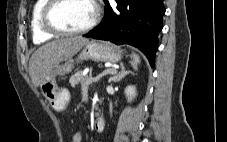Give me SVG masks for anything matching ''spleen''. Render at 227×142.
<instances>
[{
  "label": "spleen",
  "instance_id": "3e777b00",
  "mask_svg": "<svg viewBox=\"0 0 227 142\" xmlns=\"http://www.w3.org/2000/svg\"><path fill=\"white\" fill-rule=\"evenodd\" d=\"M132 59H133V67L137 68V65L140 63V57L138 54H136L135 52H132L131 55Z\"/></svg>",
  "mask_w": 227,
  "mask_h": 142
}]
</instances>
